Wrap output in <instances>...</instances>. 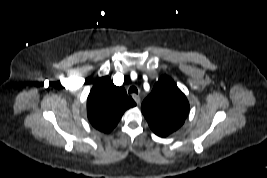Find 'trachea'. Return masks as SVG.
Masks as SVG:
<instances>
[{
	"instance_id": "trachea-1",
	"label": "trachea",
	"mask_w": 267,
	"mask_h": 178,
	"mask_svg": "<svg viewBox=\"0 0 267 178\" xmlns=\"http://www.w3.org/2000/svg\"><path fill=\"white\" fill-rule=\"evenodd\" d=\"M129 94L135 93L138 94V89L135 86H131L128 90Z\"/></svg>"
}]
</instances>
